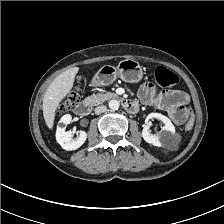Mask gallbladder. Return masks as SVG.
Here are the masks:
<instances>
[{"instance_id": "obj_1", "label": "gallbladder", "mask_w": 224, "mask_h": 224, "mask_svg": "<svg viewBox=\"0 0 224 224\" xmlns=\"http://www.w3.org/2000/svg\"><path fill=\"white\" fill-rule=\"evenodd\" d=\"M77 80H78V81H81V80H82V76H81V75H78V76H77Z\"/></svg>"}]
</instances>
